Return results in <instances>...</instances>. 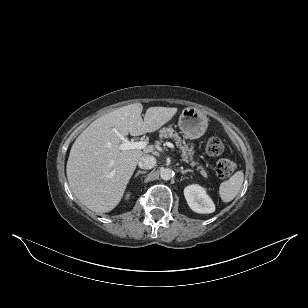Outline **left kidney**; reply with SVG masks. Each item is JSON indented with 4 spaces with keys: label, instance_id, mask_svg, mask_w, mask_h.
Instances as JSON below:
<instances>
[{
    "label": "left kidney",
    "instance_id": "obj_1",
    "mask_svg": "<svg viewBox=\"0 0 308 308\" xmlns=\"http://www.w3.org/2000/svg\"><path fill=\"white\" fill-rule=\"evenodd\" d=\"M184 196L189 207L202 214H209L215 211V204L207 195L205 188L193 184L184 189Z\"/></svg>",
    "mask_w": 308,
    "mask_h": 308
}]
</instances>
